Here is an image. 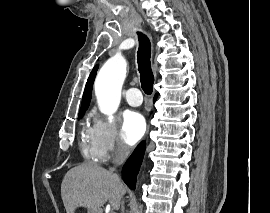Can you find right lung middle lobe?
Segmentation results:
<instances>
[{"label":"right lung middle lobe","instance_id":"obj_1","mask_svg":"<svg viewBox=\"0 0 270 213\" xmlns=\"http://www.w3.org/2000/svg\"><path fill=\"white\" fill-rule=\"evenodd\" d=\"M83 114H84V112H80V113H79V118L82 117Z\"/></svg>","mask_w":270,"mask_h":213}]
</instances>
